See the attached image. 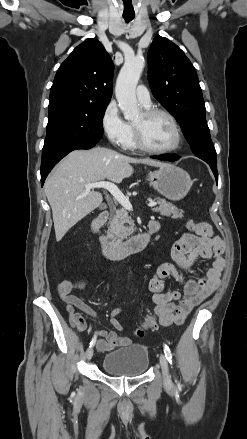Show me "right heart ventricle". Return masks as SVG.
Here are the masks:
<instances>
[{
    "label": "right heart ventricle",
    "instance_id": "e07e8e85",
    "mask_svg": "<svg viewBox=\"0 0 247 439\" xmlns=\"http://www.w3.org/2000/svg\"><path fill=\"white\" fill-rule=\"evenodd\" d=\"M129 126H130V134H129V137H128L124 147L127 149L134 150V149H137L138 147H137L136 142H135L133 126H131V125H129Z\"/></svg>",
    "mask_w": 247,
    "mask_h": 439
}]
</instances>
